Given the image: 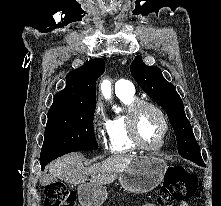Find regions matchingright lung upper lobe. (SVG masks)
<instances>
[{"label": "right lung upper lobe", "mask_w": 221, "mask_h": 206, "mask_svg": "<svg viewBox=\"0 0 221 206\" xmlns=\"http://www.w3.org/2000/svg\"><path fill=\"white\" fill-rule=\"evenodd\" d=\"M104 70V60L97 58L69 72L66 76V87L56 93L49 111L96 107L95 83Z\"/></svg>", "instance_id": "right-lung-upper-lobe-1"}]
</instances>
